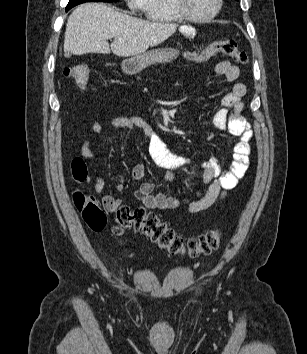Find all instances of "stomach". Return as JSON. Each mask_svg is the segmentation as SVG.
Returning <instances> with one entry per match:
<instances>
[{"instance_id": "1", "label": "stomach", "mask_w": 307, "mask_h": 354, "mask_svg": "<svg viewBox=\"0 0 307 354\" xmlns=\"http://www.w3.org/2000/svg\"><path fill=\"white\" fill-rule=\"evenodd\" d=\"M178 54L173 48L154 49L123 60L121 68L126 74L133 75L151 65L172 62Z\"/></svg>"}]
</instances>
